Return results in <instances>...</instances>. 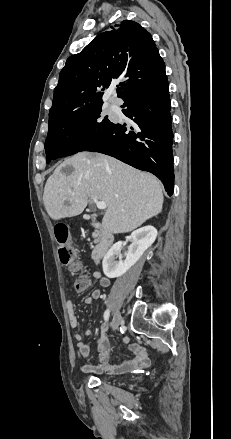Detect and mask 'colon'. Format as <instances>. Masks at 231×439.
I'll return each instance as SVG.
<instances>
[{
    "mask_svg": "<svg viewBox=\"0 0 231 439\" xmlns=\"http://www.w3.org/2000/svg\"><path fill=\"white\" fill-rule=\"evenodd\" d=\"M55 238L58 245V257L60 262L67 266L69 270L78 274V278L74 282V287L77 291H86L90 287V280L83 272L82 266L75 260V252L69 245L68 228L64 225L55 228ZM74 241V238H71ZM78 241V238H75Z\"/></svg>",
    "mask_w": 231,
    "mask_h": 439,
    "instance_id": "obj_1",
    "label": "colon"
}]
</instances>
